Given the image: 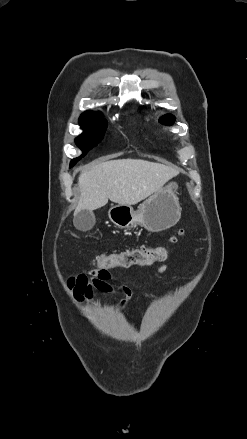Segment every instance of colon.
<instances>
[{
    "mask_svg": "<svg viewBox=\"0 0 247 439\" xmlns=\"http://www.w3.org/2000/svg\"><path fill=\"white\" fill-rule=\"evenodd\" d=\"M168 252L167 247L159 246L131 249L120 253L100 254L95 260L96 270L151 265L155 262L164 261L168 256Z\"/></svg>",
    "mask_w": 247,
    "mask_h": 439,
    "instance_id": "colon-1",
    "label": "colon"
}]
</instances>
